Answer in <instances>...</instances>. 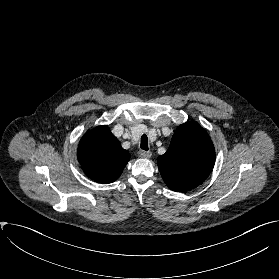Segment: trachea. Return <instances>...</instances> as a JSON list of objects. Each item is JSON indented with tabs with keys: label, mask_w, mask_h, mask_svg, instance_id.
Returning a JSON list of instances; mask_svg holds the SVG:
<instances>
[{
	"label": "trachea",
	"mask_w": 279,
	"mask_h": 279,
	"mask_svg": "<svg viewBox=\"0 0 279 279\" xmlns=\"http://www.w3.org/2000/svg\"><path fill=\"white\" fill-rule=\"evenodd\" d=\"M140 147L145 151L148 150V138L146 135H142Z\"/></svg>",
	"instance_id": "trachea-1"
}]
</instances>
